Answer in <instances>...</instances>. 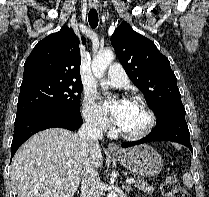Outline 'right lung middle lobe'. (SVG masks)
Masks as SVG:
<instances>
[{"instance_id":"obj_1","label":"right lung middle lobe","mask_w":209,"mask_h":197,"mask_svg":"<svg viewBox=\"0 0 209 197\" xmlns=\"http://www.w3.org/2000/svg\"><path fill=\"white\" fill-rule=\"evenodd\" d=\"M82 83L76 81L35 80L21 84L17 117L47 110L80 111Z\"/></svg>"}]
</instances>
